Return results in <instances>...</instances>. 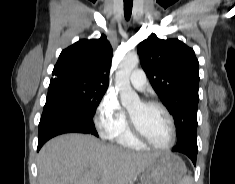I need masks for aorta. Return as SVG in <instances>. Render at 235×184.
Returning a JSON list of instances; mask_svg holds the SVG:
<instances>
[{
  "label": "aorta",
  "mask_w": 235,
  "mask_h": 184,
  "mask_svg": "<svg viewBox=\"0 0 235 184\" xmlns=\"http://www.w3.org/2000/svg\"><path fill=\"white\" fill-rule=\"evenodd\" d=\"M139 58L137 54H127L118 66V72L115 74V90L120 94V100L124 108H129L133 104L140 106V98L130 86V74L134 68H137Z\"/></svg>",
  "instance_id": "1"
}]
</instances>
